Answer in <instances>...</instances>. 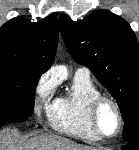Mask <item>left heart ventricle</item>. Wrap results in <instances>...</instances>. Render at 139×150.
Wrapping results in <instances>:
<instances>
[{
  "instance_id": "left-heart-ventricle-1",
  "label": "left heart ventricle",
  "mask_w": 139,
  "mask_h": 150,
  "mask_svg": "<svg viewBox=\"0 0 139 150\" xmlns=\"http://www.w3.org/2000/svg\"><path fill=\"white\" fill-rule=\"evenodd\" d=\"M98 124L101 131L106 135H113L118 127V120L113 107L104 103L98 112Z\"/></svg>"
}]
</instances>
